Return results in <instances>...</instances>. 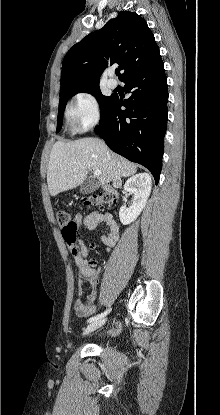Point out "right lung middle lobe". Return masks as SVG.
<instances>
[{
	"label": "right lung middle lobe",
	"instance_id": "obj_1",
	"mask_svg": "<svg viewBox=\"0 0 220 415\" xmlns=\"http://www.w3.org/2000/svg\"><path fill=\"white\" fill-rule=\"evenodd\" d=\"M80 92H86V93H90L93 96L96 97V99L99 102L100 105V111H101V119L100 122H102V120L104 119L109 106L111 104L112 98L113 96H104L101 94L99 85H85V86H78L75 88H72L62 94H60V100H59V111H58V118H57V130L56 132L58 133L62 127V117H63V112L66 106L67 101L69 100L70 97H72L73 95L80 93Z\"/></svg>",
	"mask_w": 220,
	"mask_h": 415
}]
</instances>
